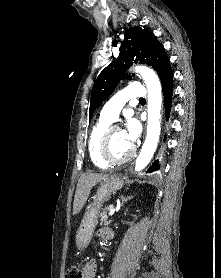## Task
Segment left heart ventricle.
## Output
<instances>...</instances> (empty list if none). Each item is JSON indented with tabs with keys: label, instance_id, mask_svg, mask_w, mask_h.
Wrapping results in <instances>:
<instances>
[{
	"label": "left heart ventricle",
	"instance_id": "obj_1",
	"mask_svg": "<svg viewBox=\"0 0 221 278\" xmlns=\"http://www.w3.org/2000/svg\"><path fill=\"white\" fill-rule=\"evenodd\" d=\"M132 146L129 145L125 138L123 131L115 129L110 138L109 154L116 159L125 157L130 151Z\"/></svg>",
	"mask_w": 221,
	"mask_h": 278
}]
</instances>
